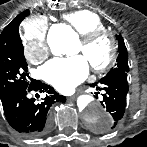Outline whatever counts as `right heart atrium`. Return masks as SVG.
Segmentation results:
<instances>
[{"label":"right heart atrium","mask_w":147,"mask_h":147,"mask_svg":"<svg viewBox=\"0 0 147 147\" xmlns=\"http://www.w3.org/2000/svg\"><path fill=\"white\" fill-rule=\"evenodd\" d=\"M48 23L44 17H33L23 25L24 54L31 62L39 63L48 54L46 35Z\"/></svg>","instance_id":"obj_1"}]
</instances>
